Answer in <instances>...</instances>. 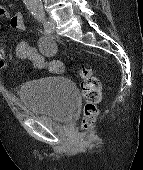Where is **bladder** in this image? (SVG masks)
<instances>
[{"label":"bladder","mask_w":143,"mask_h":170,"mask_svg":"<svg viewBox=\"0 0 143 170\" xmlns=\"http://www.w3.org/2000/svg\"><path fill=\"white\" fill-rule=\"evenodd\" d=\"M17 95L31 116L53 122L71 118L78 104L75 85L58 75L27 81L17 88Z\"/></svg>","instance_id":"obj_1"}]
</instances>
